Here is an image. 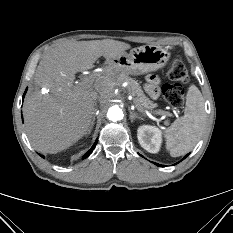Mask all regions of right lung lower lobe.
Returning a JSON list of instances; mask_svg holds the SVG:
<instances>
[{
    "instance_id": "obj_1",
    "label": "right lung lower lobe",
    "mask_w": 233,
    "mask_h": 233,
    "mask_svg": "<svg viewBox=\"0 0 233 233\" xmlns=\"http://www.w3.org/2000/svg\"><path fill=\"white\" fill-rule=\"evenodd\" d=\"M26 91H27V89H26ZM25 91V92H26ZM97 142H98V140H96V142L94 143V145L92 146V148L83 156V158H86V157H88L91 153H92V151H93V149L95 148V146H96V144H97ZM41 157H43L44 158V156L43 155H41Z\"/></svg>"
}]
</instances>
